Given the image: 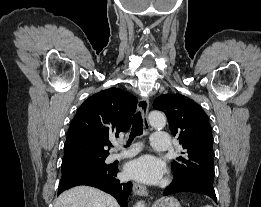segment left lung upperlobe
Returning a JSON list of instances; mask_svg holds the SVG:
<instances>
[{
    "instance_id": "5c2ea615",
    "label": "left lung upper lobe",
    "mask_w": 261,
    "mask_h": 207,
    "mask_svg": "<svg viewBox=\"0 0 261 207\" xmlns=\"http://www.w3.org/2000/svg\"><path fill=\"white\" fill-rule=\"evenodd\" d=\"M153 107L166 114L172 134L184 149V156L172 163L174 174L213 183V136L202 107L181 94L161 95L154 100Z\"/></svg>"
}]
</instances>
